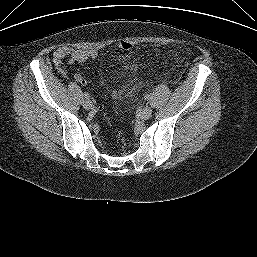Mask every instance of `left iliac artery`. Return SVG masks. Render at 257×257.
I'll return each instance as SVG.
<instances>
[{
  "mask_svg": "<svg viewBox=\"0 0 257 257\" xmlns=\"http://www.w3.org/2000/svg\"><path fill=\"white\" fill-rule=\"evenodd\" d=\"M149 97H150L149 94H146V95L144 96L145 99H149Z\"/></svg>",
  "mask_w": 257,
  "mask_h": 257,
  "instance_id": "1",
  "label": "left iliac artery"
}]
</instances>
